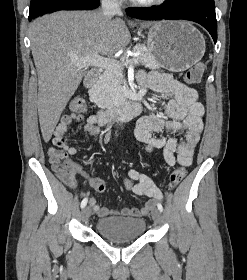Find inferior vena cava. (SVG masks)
Segmentation results:
<instances>
[{
	"mask_svg": "<svg viewBox=\"0 0 247 280\" xmlns=\"http://www.w3.org/2000/svg\"><path fill=\"white\" fill-rule=\"evenodd\" d=\"M101 7L103 15L108 19L115 14H121L119 0H102Z\"/></svg>",
	"mask_w": 247,
	"mask_h": 280,
	"instance_id": "inferior-vena-cava-1",
	"label": "inferior vena cava"
}]
</instances>
